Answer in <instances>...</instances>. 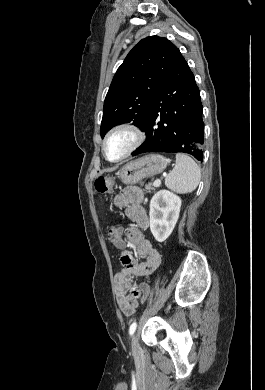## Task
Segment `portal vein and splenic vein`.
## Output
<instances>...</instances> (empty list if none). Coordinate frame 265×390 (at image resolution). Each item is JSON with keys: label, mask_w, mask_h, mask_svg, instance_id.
Instances as JSON below:
<instances>
[{"label": "portal vein and splenic vein", "mask_w": 265, "mask_h": 390, "mask_svg": "<svg viewBox=\"0 0 265 390\" xmlns=\"http://www.w3.org/2000/svg\"><path fill=\"white\" fill-rule=\"evenodd\" d=\"M160 184H161V180L160 179L155 180L154 186L158 187V186H160Z\"/></svg>", "instance_id": "portal-vein-and-splenic-vein-1"}]
</instances>
